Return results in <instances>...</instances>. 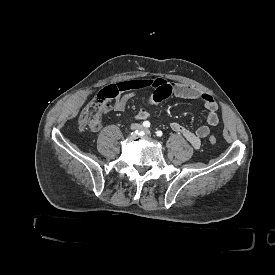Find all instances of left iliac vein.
<instances>
[{
  "label": "left iliac vein",
  "instance_id": "1",
  "mask_svg": "<svg viewBox=\"0 0 275 275\" xmlns=\"http://www.w3.org/2000/svg\"><path fill=\"white\" fill-rule=\"evenodd\" d=\"M144 132H145L146 135H150V130L149 129H145Z\"/></svg>",
  "mask_w": 275,
  "mask_h": 275
}]
</instances>
